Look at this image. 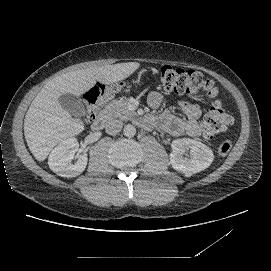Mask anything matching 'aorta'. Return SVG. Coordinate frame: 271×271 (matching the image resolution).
I'll list each match as a JSON object with an SVG mask.
<instances>
[{
	"label": "aorta",
	"mask_w": 271,
	"mask_h": 271,
	"mask_svg": "<svg viewBox=\"0 0 271 271\" xmlns=\"http://www.w3.org/2000/svg\"><path fill=\"white\" fill-rule=\"evenodd\" d=\"M123 134H124V136L131 138V137L135 136L136 128L131 124H127L123 128Z\"/></svg>",
	"instance_id": "762f6f07"
}]
</instances>
